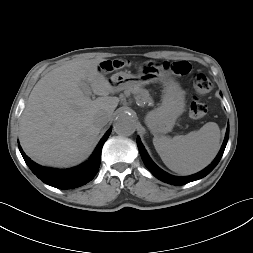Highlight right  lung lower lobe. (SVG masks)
<instances>
[{
	"label": "right lung lower lobe",
	"mask_w": 253,
	"mask_h": 253,
	"mask_svg": "<svg viewBox=\"0 0 253 253\" xmlns=\"http://www.w3.org/2000/svg\"><path fill=\"white\" fill-rule=\"evenodd\" d=\"M111 130L112 128L101 139L89 160L71 169H53L40 166L24 153L21 146H19V150L31 171L44 183L58 189H73L91 181L97 174L100 166L101 150Z\"/></svg>",
	"instance_id": "1"
}]
</instances>
